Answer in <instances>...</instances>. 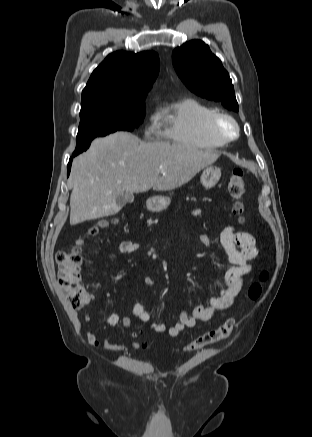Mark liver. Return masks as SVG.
Returning <instances> with one entry per match:
<instances>
[{"mask_svg": "<svg viewBox=\"0 0 312 437\" xmlns=\"http://www.w3.org/2000/svg\"><path fill=\"white\" fill-rule=\"evenodd\" d=\"M219 157L186 144L146 143L128 132L96 138L72 163L70 224L111 214L125 194L178 188Z\"/></svg>", "mask_w": 312, "mask_h": 437, "instance_id": "1", "label": "liver"}]
</instances>
